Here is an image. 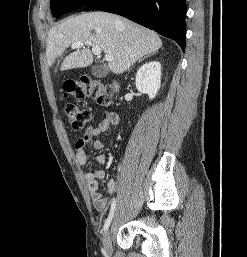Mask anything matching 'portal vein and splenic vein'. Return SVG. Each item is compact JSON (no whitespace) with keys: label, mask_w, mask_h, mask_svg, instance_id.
Returning a JSON list of instances; mask_svg holds the SVG:
<instances>
[{"label":"portal vein and splenic vein","mask_w":247,"mask_h":257,"mask_svg":"<svg viewBox=\"0 0 247 257\" xmlns=\"http://www.w3.org/2000/svg\"><path fill=\"white\" fill-rule=\"evenodd\" d=\"M85 45H88V46H92V52L95 54V55H100L101 54V49L100 47L92 44L91 42L89 41H86V42H81V41H78V42H75L72 44V48H81V47H84ZM113 56L111 55H105V60L110 62V61H113Z\"/></svg>","instance_id":"portal-vein-and-splenic-vein-1"}]
</instances>
